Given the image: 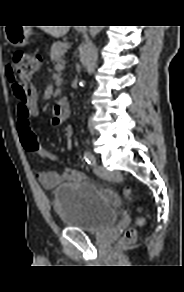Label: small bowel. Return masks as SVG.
Wrapping results in <instances>:
<instances>
[{
  "label": "small bowel",
  "instance_id": "c3829d8e",
  "mask_svg": "<svg viewBox=\"0 0 184 292\" xmlns=\"http://www.w3.org/2000/svg\"><path fill=\"white\" fill-rule=\"evenodd\" d=\"M62 123L61 120L54 118L53 124L60 125ZM20 127L18 125V133ZM73 129L71 126H66L63 129L64 143L67 149H71L73 146L72 141ZM37 179L41 183V185L46 189H53L61 183L65 182H81L85 179V175L83 172L76 169H67L62 174H58L54 171H42L37 173Z\"/></svg>",
  "mask_w": 184,
  "mask_h": 292
}]
</instances>
